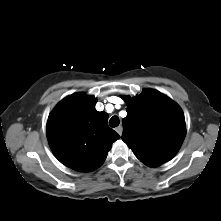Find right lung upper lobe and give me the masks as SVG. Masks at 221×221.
<instances>
[{
	"mask_svg": "<svg viewBox=\"0 0 221 221\" xmlns=\"http://www.w3.org/2000/svg\"><path fill=\"white\" fill-rule=\"evenodd\" d=\"M97 100L84 93L64 98L47 122V137L57 159L80 171L97 169L120 136L108 127V114L95 109Z\"/></svg>",
	"mask_w": 221,
	"mask_h": 221,
	"instance_id": "right-lung-upper-lobe-1",
	"label": "right lung upper lobe"
}]
</instances>
